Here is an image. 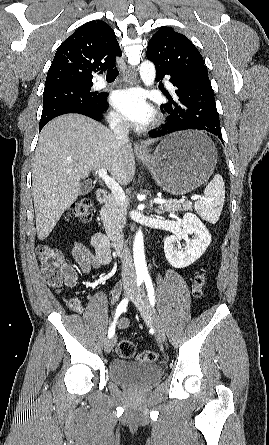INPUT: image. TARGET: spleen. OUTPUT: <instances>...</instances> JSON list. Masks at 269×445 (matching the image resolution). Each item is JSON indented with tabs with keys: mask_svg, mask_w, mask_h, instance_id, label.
Here are the masks:
<instances>
[{
	"mask_svg": "<svg viewBox=\"0 0 269 445\" xmlns=\"http://www.w3.org/2000/svg\"><path fill=\"white\" fill-rule=\"evenodd\" d=\"M225 200L222 176L216 174L204 190L203 199L195 202V210L201 218L215 224L221 215Z\"/></svg>",
	"mask_w": 269,
	"mask_h": 445,
	"instance_id": "spleen-1",
	"label": "spleen"
}]
</instances>
